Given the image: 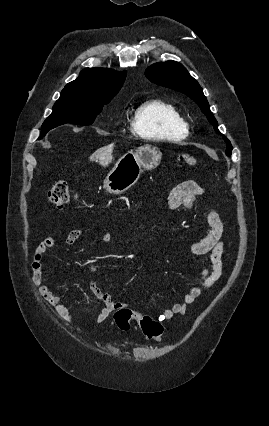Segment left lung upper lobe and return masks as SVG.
<instances>
[{"label": "left lung upper lobe", "mask_w": 269, "mask_h": 426, "mask_svg": "<svg viewBox=\"0 0 269 426\" xmlns=\"http://www.w3.org/2000/svg\"><path fill=\"white\" fill-rule=\"evenodd\" d=\"M145 75L153 83L177 90L193 99L198 104L201 111L207 116L208 121L214 126L215 131L220 133L218 130V123L210 110L206 97L203 94V89L188 73L184 66L176 61L156 63L146 69ZM223 138L227 145L226 154L230 156L232 152V145L225 136H223Z\"/></svg>", "instance_id": "obj_1"}]
</instances>
